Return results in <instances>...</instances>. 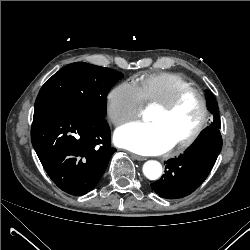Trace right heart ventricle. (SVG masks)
Listing matches in <instances>:
<instances>
[{"instance_id":"right-heart-ventricle-1","label":"right heart ventricle","mask_w":250,"mask_h":250,"mask_svg":"<svg viewBox=\"0 0 250 250\" xmlns=\"http://www.w3.org/2000/svg\"><path fill=\"white\" fill-rule=\"evenodd\" d=\"M143 102L158 105L169 100L178 91L192 86L183 76L159 72L141 76L136 82Z\"/></svg>"}]
</instances>
